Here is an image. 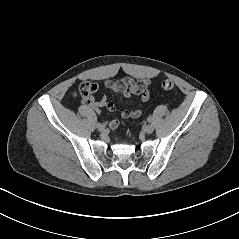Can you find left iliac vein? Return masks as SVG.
Returning <instances> with one entry per match:
<instances>
[{"label": "left iliac vein", "instance_id": "left-iliac-vein-1", "mask_svg": "<svg viewBox=\"0 0 239 239\" xmlns=\"http://www.w3.org/2000/svg\"><path fill=\"white\" fill-rule=\"evenodd\" d=\"M153 131H154V127L150 124L144 127V132L147 134H151L153 133Z\"/></svg>", "mask_w": 239, "mask_h": 239}]
</instances>
